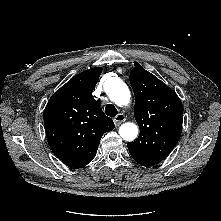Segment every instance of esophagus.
I'll list each match as a JSON object with an SVG mask.
<instances>
[{"label":"esophagus","instance_id":"obj_1","mask_svg":"<svg viewBox=\"0 0 221 221\" xmlns=\"http://www.w3.org/2000/svg\"><path fill=\"white\" fill-rule=\"evenodd\" d=\"M113 121L116 126H119L122 122L125 121V116L122 113H120L114 117Z\"/></svg>","mask_w":221,"mask_h":221}]
</instances>
